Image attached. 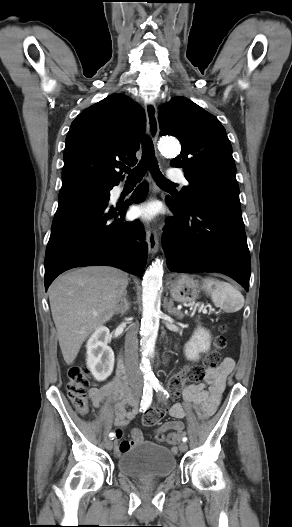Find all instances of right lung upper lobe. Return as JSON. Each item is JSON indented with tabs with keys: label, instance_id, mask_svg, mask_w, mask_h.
I'll return each mask as SVG.
<instances>
[{
	"label": "right lung upper lobe",
	"instance_id": "1",
	"mask_svg": "<svg viewBox=\"0 0 292 527\" xmlns=\"http://www.w3.org/2000/svg\"><path fill=\"white\" fill-rule=\"evenodd\" d=\"M145 111L125 95L113 94L83 110L65 141L62 182L89 179L117 185L122 164L135 165L145 130Z\"/></svg>",
	"mask_w": 292,
	"mask_h": 527
}]
</instances>
